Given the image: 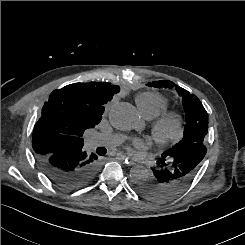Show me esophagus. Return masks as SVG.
I'll list each match as a JSON object with an SVG mask.
<instances>
[{"instance_id":"34e87169","label":"esophagus","mask_w":245,"mask_h":245,"mask_svg":"<svg viewBox=\"0 0 245 245\" xmlns=\"http://www.w3.org/2000/svg\"><path fill=\"white\" fill-rule=\"evenodd\" d=\"M117 159L123 161L126 166H132L135 164L129 157L122 154H118Z\"/></svg>"}]
</instances>
